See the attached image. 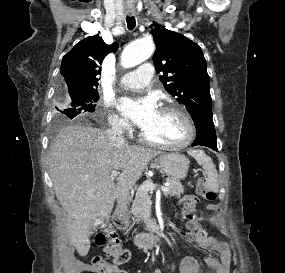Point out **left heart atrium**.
<instances>
[{
    "mask_svg": "<svg viewBox=\"0 0 285 273\" xmlns=\"http://www.w3.org/2000/svg\"><path fill=\"white\" fill-rule=\"evenodd\" d=\"M118 108L125 117L142 129L152 122L159 111L156 100L152 96L122 98Z\"/></svg>",
    "mask_w": 285,
    "mask_h": 273,
    "instance_id": "obj_1",
    "label": "left heart atrium"
}]
</instances>
